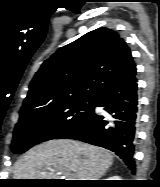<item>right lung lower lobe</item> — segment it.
Masks as SVG:
<instances>
[{
    "label": "right lung lower lobe",
    "instance_id": "obj_1",
    "mask_svg": "<svg viewBox=\"0 0 160 187\" xmlns=\"http://www.w3.org/2000/svg\"><path fill=\"white\" fill-rule=\"evenodd\" d=\"M95 107H102L104 112L94 110L83 125L65 138L109 149L135 173L133 156L138 120L135 63L95 97Z\"/></svg>",
    "mask_w": 160,
    "mask_h": 187
}]
</instances>
